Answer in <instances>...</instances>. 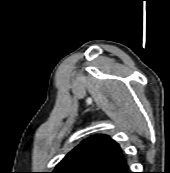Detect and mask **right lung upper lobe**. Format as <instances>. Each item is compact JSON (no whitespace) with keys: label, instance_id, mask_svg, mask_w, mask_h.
<instances>
[{"label":"right lung upper lobe","instance_id":"1","mask_svg":"<svg viewBox=\"0 0 170 173\" xmlns=\"http://www.w3.org/2000/svg\"><path fill=\"white\" fill-rule=\"evenodd\" d=\"M126 162L120 146L107 135H94L69 152L52 173H105Z\"/></svg>","mask_w":170,"mask_h":173}]
</instances>
